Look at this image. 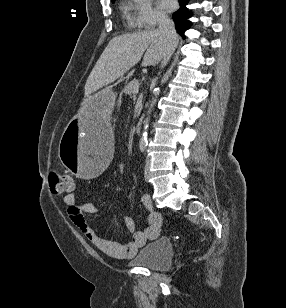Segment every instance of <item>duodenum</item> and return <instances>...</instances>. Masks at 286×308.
<instances>
[{
  "instance_id": "duodenum-1",
  "label": "duodenum",
  "mask_w": 286,
  "mask_h": 308,
  "mask_svg": "<svg viewBox=\"0 0 286 308\" xmlns=\"http://www.w3.org/2000/svg\"><path fill=\"white\" fill-rule=\"evenodd\" d=\"M135 130L137 133H140L142 131V122L138 121L135 125Z\"/></svg>"
}]
</instances>
